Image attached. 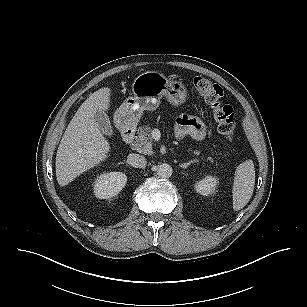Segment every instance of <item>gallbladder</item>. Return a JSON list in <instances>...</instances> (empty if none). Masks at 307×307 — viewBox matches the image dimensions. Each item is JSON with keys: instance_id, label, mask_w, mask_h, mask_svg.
Instances as JSON below:
<instances>
[{"instance_id": "obj_1", "label": "gallbladder", "mask_w": 307, "mask_h": 307, "mask_svg": "<svg viewBox=\"0 0 307 307\" xmlns=\"http://www.w3.org/2000/svg\"><path fill=\"white\" fill-rule=\"evenodd\" d=\"M94 119L96 124L98 125L99 129L106 135H113V129L111 126V122L109 117L106 115L105 112L98 110L94 114Z\"/></svg>"}]
</instances>
